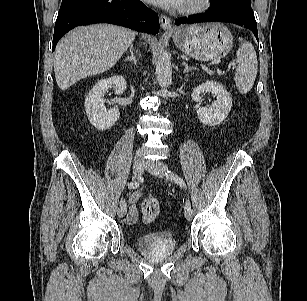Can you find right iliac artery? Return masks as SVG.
<instances>
[{"label": "right iliac artery", "mask_w": 307, "mask_h": 301, "mask_svg": "<svg viewBox=\"0 0 307 301\" xmlns=\"http://www.w3.org/2000/svg\"><path fill=\"white\" fill-rule=\"evenodd\" d=\"M128 187H129V188H132V189L138 188V187H139V182L136 181V180H133V181H131V182L128 183ZM120 207H126L125 200L121 199V201H120Z\"/></svg>", "instance_id": "1"}]
</instances>
